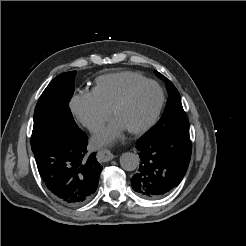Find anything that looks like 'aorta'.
<instances>
[{
	"label": "aorta",
	"mask_w": 246,
	"mask_h": 246,
	"mask_svg": "<svg viewBox=\"0 0 246 246\" xmlns=\"http://www.w3.org/2000/svg\"><path fill=\"white\" fill-rule=\"evenodd\" d=\"M140 164V158L137 154L126 152L120 157V165L126 171L135 170Z\"/></svg>",
	"instance_id": "aorta-1"
}]
</instances>
